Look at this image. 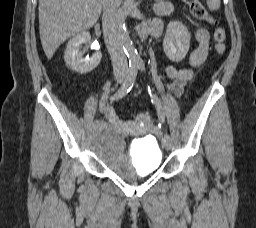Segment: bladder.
<instances>
[{
  "label": "bladder",
  "instance_id": "obj_1",
  "mask_svg": "<svg viewBox=\"0 0 256 228\" xmlns=\"http://www.w3.org/2000/svg\"><path fill=\"white\" fill-rule=\"evenodd\" d=\"M123 134L109 126L96 129L90 148L100 161L118 177L131 180L156 172L162 163V151L154 139H139L132 145L131 154L124 151Z\"/></svg>",
  "mask_w": 256,
  "mask_h": 228
}]
</instances>
